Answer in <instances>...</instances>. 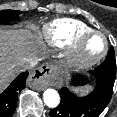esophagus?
<instances>
[{
	"label": "esophagus",
	"instance_id": "esophagus-1",
	"mask_svg": "<svg viewBox=\"0 0 117 117\" xmlns=\"http://www.w3.org/2000/svg\"><path fill=\"white\" fill-rule=\"evenodd\" d=\"M54 70V66L50 64L39 66L30 74V86L39 91L43 90L50 84Z\"/></svg>",
	"mask_w": 117,
	"mask_h": 117
}]
</instances>
